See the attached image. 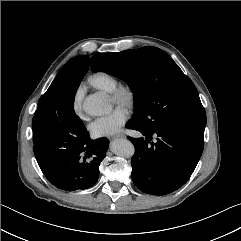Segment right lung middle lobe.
I'll list each match as a JSON object with an SVG mask.
<instances>
[{
  "mask_svg": "<svg viewBox=\"0 0 241 241\" xmlns=\"http://www.w3.org/2000/svg\"><path fill=\"white\" fill-rule=\"evenodd\" d=\"M80 82L73 76H57L38 101L32 127L44 143L50 144V149L76 145L88 133L74 111Z\"/></svg>",
  "mask_w": 241,
  "mask_h": 241,
  "instance_id": "1",
  "label": "right lung middle lobe"
}]
</instances>
